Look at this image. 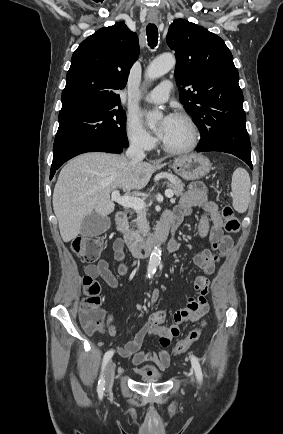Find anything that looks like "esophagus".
<instances>
[{"mask_svg":"<svg viewBox=\"0 0 283 434\" xmlns=\"http://www.w3.org/2000/svg\"><path fill=\"white\" fill-rule=\"evenodd\" d=\"M152 22H156L157 20L155 18L151 19Z\"/></svg>","mask_w":283,"mask_h":434,"instance_id":"esophagus-1","label":"esophagus"}]
</instances>
